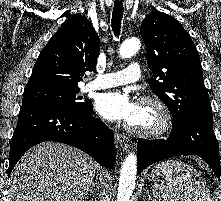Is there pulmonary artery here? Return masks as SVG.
I'll use <instances>...</instances> for the list:
<instances>
[{
  "label": "pulmonary artery",
  "mask_w": 221,
  "mask_h": 201,
  "mask_svg": "<svg viewBox=\"0 0 221 201\" xmlns=\"http://www.w3.org/2000/svg\"><path fill=\"white\" fill-rule=\"evenodd\" d=\"M141 76L142 71L140 65L132 63L124 70L98 75L96 79L85 85L84 91H92L133 83L138 81Z\"/></svg>",
  "instance_id": "e3ab8cb5"
}]
</instances>
